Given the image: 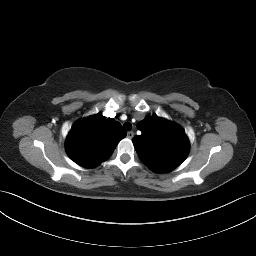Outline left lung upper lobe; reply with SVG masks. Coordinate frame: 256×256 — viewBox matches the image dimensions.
<instances>
[{
    "label": "left lung upper lobe",
    "instance_id": "left-lung-upper-lobe-1",
    "mask_svg": "<svg viewBox=\"0 0 256 256\" xmlns=\"http://www.w3.org/2000/svg\"><path fill=\"white\" fill-rule=\"evenodd\" d=\"M141 135L132 139L141 161L153 172L167 173L187 157L189 140L179 125L152 116L137 124Z\"/></svg>",
    "mask_w": 256,
    "mask_h": 256
}]
</instances>
